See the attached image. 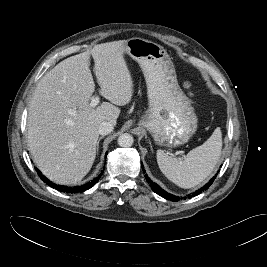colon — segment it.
<instances>
[{
  "mask_svg": "<svg viewBox=\"0 0 267 267\" xmlns=\"http://www.w3.org/2000/svg\"><path fill=\"white\" fill-rule=\"evenodd\" d=\"M185 87L188 89L190 87V84L189 83H186L185 84Z\"/></svg>",
  "mask_w": 267,
  "mask_h": 267,
  "instance_id": "obj_1",
  "label": "colon"
}]
</instances>
